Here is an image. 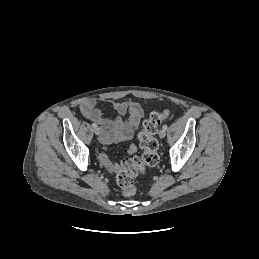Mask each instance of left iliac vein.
Listing matches in <instances>:
<instances>
[{
	"label": "left iliac vein",
	"mask_w": 259,
	"mask_h": 259,
	"mask_svg": "<svg viewBox=\"0 0 259 259\" xmlns=\"http://www.w3.org/2000/svg\"><path fill=\"white\" fill-rule=\"evenodd\" d=\"M166 136V131L164 130V129H161L160 131H159V137L160 138H164Z\"/></svg>",
	"instance_id": "obj_1"
}]
</instances>
